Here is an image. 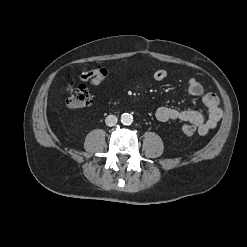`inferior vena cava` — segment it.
I'll return each mask as SVG.
<instances>
[{
	"label": "inferior vena cava",
	"instance_id": "inferior-vena-cava-1",
	"mask_svg": "<svg viewBox=\"0 0 247 247\" xmlns=\"http://www.w3.org/2000/svg\"><path fill=\"white\" fill-rule=\"evenodd\" d=\"M118 121V118L115 115H108L105 119V123L107 126L112 127Z\"/></svg>",
	"mask_w": 247,
	"mask_h": 247
}]
</instances>
